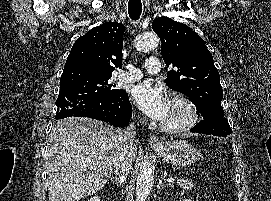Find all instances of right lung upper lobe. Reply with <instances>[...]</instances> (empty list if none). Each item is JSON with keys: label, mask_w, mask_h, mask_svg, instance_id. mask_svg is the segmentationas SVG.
Returning <instances> with one entry per match:
<instances>
[{"label": "right lung upper lobe", "mask_w": 271, "mask_h": 201, "mask_svg": "<svg viewBox=\"0 0 271 201\" xmlns=\"http://www.w3.org/2000/svg\"><path fill=\"white\" fill-rule=\"evenodd\" d=\"M125 26L118 22H105L78 38L66 60L64 71L82 69L112 74L122 67L123 33Z\"/></svg>", "instance_id": "right-lung-upper-lobe-1"}]
</instances>
